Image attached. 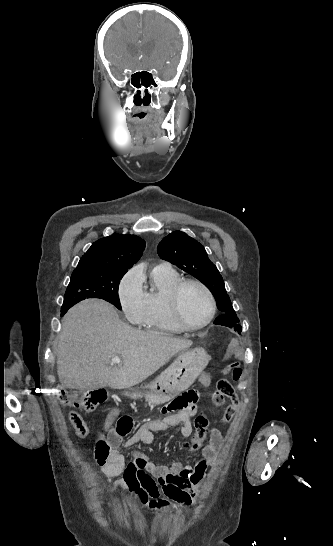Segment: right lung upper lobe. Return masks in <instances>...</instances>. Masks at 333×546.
<instances>
[{"instance_id":"right-lung-upper-lobe-1","label":"right lung upper lobe","mask_w":333,"mask_h":546,"mask_svg":"<svg viewBox=\"0 0 333 546\" xmlns=\"http://www.w3.org/2000/svg\"><path fill=\"white\" fill-rule=\"evenodd\" d=\"M144 249L145 241L140 237L114 233L94 242L72 275L82 274L97 266L128 271L140 259Z\"/></svg>"}]
</instances>
